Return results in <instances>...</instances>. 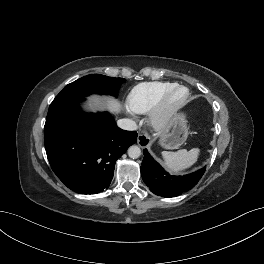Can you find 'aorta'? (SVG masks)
<instances>
[{
	"label": "aorta",
	"mask_w": 264,
	"mask_h": 264,
	"mask_svg": "<svg viewBox=\"0 0 264 264\" xmlns=\"http://www.w3.org/2000/svg\"><path fill=\"white\" fill-rule=\"evenodd\" d=\"M128 155L130 158L136 159L140 157L141 149L138 146L133 145L128 149Z\"/></svg>",
	"instance_id": "obj_1"
}]
</instances>
